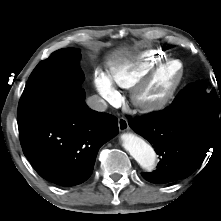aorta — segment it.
Instances as JSON below:
<instances>
[{
	"instance_id": "obj_1",
	"label": "aorta",
	"mask_w": 221,
	"mask_h": 221,
	"mask_svg": "<svg viewBox=\"0 0 221 221\" xmlns=\"http://www.w3.org/2000/svg\"><path fill=\"white\" fill-rule=\"evenodd\" d=\"M121 141L124 149L130 153L142 168L151 170L154 167L156 154L153 148L143 139L133 133H124L121 135Z\"/></svg>"
}]
</instances>
